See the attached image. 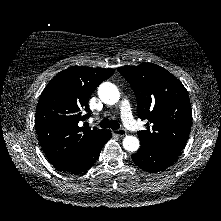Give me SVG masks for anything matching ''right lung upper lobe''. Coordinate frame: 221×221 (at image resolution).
I'll use <instances>...</instances> for the list:
<instances>
[{
	"instance_id": "cb5924a9",
	"label": "right lung upper lobe",
	"mask_w": 221,
	"mask_h": 221,
	"mask_svg": "<svg viewBox=\"0 0 221 221\" xmlns=\"http://www.w3.org/2000/svg\"><path fill=\"white\" fill-rule=\"evenodd\" d=\"M112 68L74 66L59 72L43 90L35 114L38 141L59 171L79 158L106 130L81 126L88 100Z\"/></svg>"
}]
</instances>
